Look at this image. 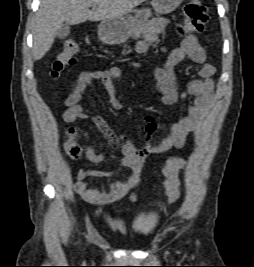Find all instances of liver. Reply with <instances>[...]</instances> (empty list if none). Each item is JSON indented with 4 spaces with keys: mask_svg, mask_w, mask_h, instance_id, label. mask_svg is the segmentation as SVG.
<instances>
[{
    "mask_svg": "<svg viewBox=\"0 0 254 267\" xmlns=\"http://www.w3.org/2000/svg\"><path fill=\"white\" fill-rule=\"evenodd\" d=\"M146 0H41L33 28V57L40 60L50 50L59 27L124 15ZM94 8L89 10V7Z\"/></svg>",
    "mask_w": 254,
    "mask_h": 267,
    "instance_id": "6515ba94",
    "label": "liver"
}]
</instances>
